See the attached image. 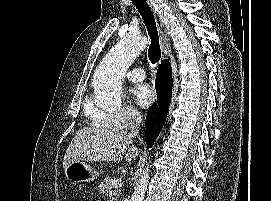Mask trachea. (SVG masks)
<instances>
[{
  "label": "trachea",
  "instance_id": "1",
  "mask_svg": "<svg viewBox=\"0 0 271 201\" xmlns=\"http://www.w3.org/2000/svg\"><path fill=\"white\" fill-rule=\"evenodd\" d=\"M147 28L151 43L148 49V57L152 65L159 63L161 58V50L159 45V36L156 22L152 10L146 0H132Z\"/></svg>",
  "mask_w": 271,
  "mask_h": 201
}]
</instances>
